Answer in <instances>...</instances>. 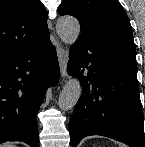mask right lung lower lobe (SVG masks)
<instances>
[{
	"label": "right lung lower lobe",
	"mask_w": 145,
	"mask_h": 147,
	"mask_svg": "<svg viewBox=\"0 0 145 147\" xmlns=\"http://www.w3.org/2000/svg\"><path fill=\"white\" fill-rule=\"evenodd\" d=\"M58 79L57 54L49 36L0 60V144L23 141L38 147L36 115L48 86Z\"/></svg>",
	"instance_id": "obj_1"
}]
</instances>
